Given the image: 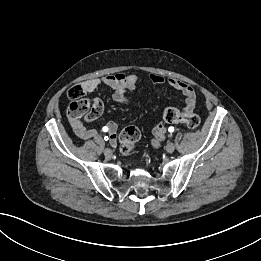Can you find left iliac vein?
<instances>
[{
  "label": "left iliac vein",
  "mask_w": 261,
  "mask_h": 261,
  "mask_svg": "<svg viewBox=\"0 0 261 261\" xmlns=\"http://www.w3.org/2000/svg\"><path fill=\"white\" fill-rule=\"evenodd\" d=\"M165 149H166V151H167L168 153H172V152L175 150V145H174V143H172V142L167 143Z\"/></svg>",
  "instance_id": "obj_1"
}]
</instances>
